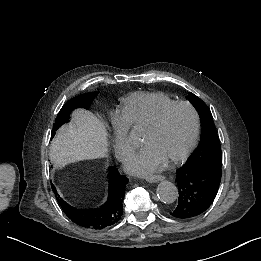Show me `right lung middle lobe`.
<instances>
[{"label": "right lung middle lobe", "mask_w": 261, "mask_h": 261, "mask_svg": "<svg viewBox=\"0 0 261 261\" xmlns=\"http://www.w3.org/2000/svg\"><path fill=\"white\" fill-rule=\"evenodd\" d=\"M94 93H86L80 96H77L71 100H69L59 111L57 118L55 120V124L52 130V136H54L57 129L67 123L69 121L70 113L76 108H85L88 109L90 107V103L94 99Z\"/></svg>", "instance_id": "obj_1"}]
</instances>
